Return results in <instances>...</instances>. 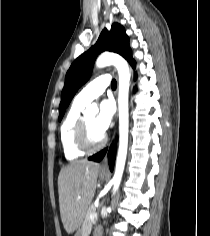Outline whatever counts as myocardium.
<instances>
[{
    "instance_id": "myocardium-1",
    "label": "myocardium",
    "mask_w": 210,
    "mask_h": 236,
    "mask_svg": "<svg viewBox=\"0 0 210 236\" xmlns=\"http://www.w3.org/2000/svg\"><path fill=\"white\" fill-rule=\"evenodd\" d=\"M106 140L105 134H102V137L98 141L92 140L86 118L85 116L81 117L75 136L76 145L79 149L85 152L95 151L103 147Z\"/></svg>"
}]
</instances>
